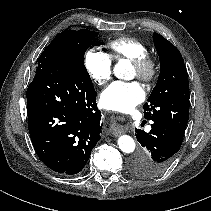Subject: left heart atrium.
<instances>
[{
	"label": "left heart atrium",
	"instance_id": "left-heart-atrium-1",
	"mask_svg": "<svg viewBox=\"0 0 211 211\" xmlns=\"http://www.w3.org/2000/svg\"><path fill=\"white\" fill-rule=\"evenodd\" d=\"M145 98V91L137 81H116L100 96L101 105L111 111L129 112Z\"/></svg>",
	"mask_w": 211,
	"mask_h": 211
}]
</instances>
